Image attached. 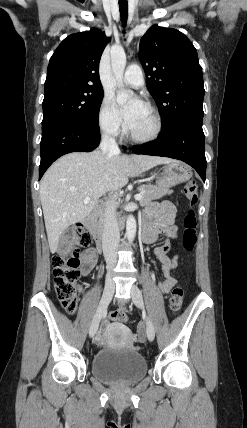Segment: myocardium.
I'll return each instance as SVG.
<instances>
[{
	"label": "myocardium",
	"mask_w": 247,
	"mask_h": 428,
	"mask_svg": "<svg viewBox=\"0 0 247 428\" xmlns=\"http://www.w3.org/2000/svg\"><path fill=\"white\" fill-rule=\"evenodd\" d=\"M147 109L150 111L154 119V129L150 134L146 136H138L130 130L128 132V135L130 139L136 143L145 144V143L153 142L160 137L163 131V120L159 111L150 104L147 105Z\"/></svg>",
	"instance_id": "1"
}]
</instances>
